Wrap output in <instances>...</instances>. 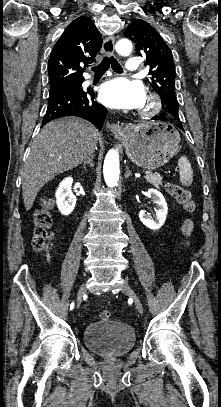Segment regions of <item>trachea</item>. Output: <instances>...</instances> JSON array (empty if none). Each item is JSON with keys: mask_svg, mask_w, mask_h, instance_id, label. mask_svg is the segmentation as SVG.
<instances>
[{"mask_svg": "<svg viewBox=\"0 0 221 407\" xmlns=\"http://www.w3.org/2000/svg\"><path fill=\"white\" fill-rule=\"evenodd\" d=\"M110 65L115 72L117 73L123 72L121 65L113 56L104 57V59L98 66L92 67V70L95 72V75H102L109 69Z\"/></svg>", "mask_w": 221, "mask_h": 407, "instance_id": "trachea-1", "label": "trachea"}]
</instances>
